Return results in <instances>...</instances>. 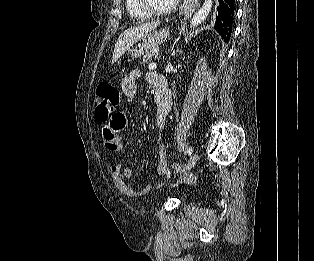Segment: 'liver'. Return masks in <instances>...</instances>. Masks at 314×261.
<instances>
[{
  "label": "liver",
  "instance_id": "obj_1",
  "mask_svg": "<svg viewBox=\"0 0 314 261\" xmlns=\"http://www.w3.org/2000/svg\"><path fill=\"white\" fill-rule=\"evenodd\" d=\"M159 22L145 23L125 30L120 34L114 48L112 63H115L130 47L155 29Z\"/></svg>",
  "mask_w": 314,
  "mask_h": 261
}]
</instances>
